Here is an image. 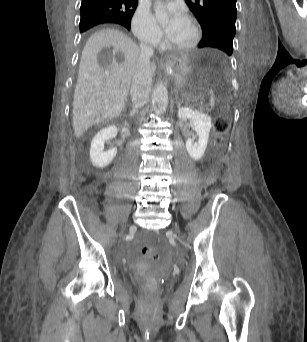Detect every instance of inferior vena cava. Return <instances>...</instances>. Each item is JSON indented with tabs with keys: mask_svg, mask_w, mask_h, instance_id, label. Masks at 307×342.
<instances>
[{
	"mask_svg": "<svg viewBox=\"0 0 307 342\" xmlns=\"http://www.w3.org/2000/svg\"><path fill=\"white\" fill-rule=\"evenodd\" d=\"M141 52L137 66L135 68L134 76L131 82L130 96L133 102V108H141L147 104L149 94L151 92L152 78L154 76L151 70L150 58L153 56V48L140 44Z\"/></svg>",
	"mask_w": 307,
	"mask_h": 342,
	"instance_id": "602c4592",
	"label": "inferior vena cava"
}]
</instances>
